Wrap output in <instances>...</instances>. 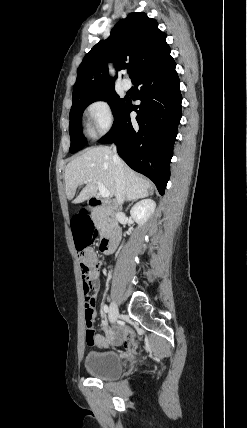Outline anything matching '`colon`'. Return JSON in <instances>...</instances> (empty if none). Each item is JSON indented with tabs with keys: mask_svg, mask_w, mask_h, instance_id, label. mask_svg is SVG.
Listing matches in <instances>:
<instances>
[{
	"mask_svg": "<svg viewBox=\"0 0 247 428\" xmlns=\"http://www.w3.org/2000/svg\"><path fill=\"white\" fill-rule=\"evenodd\" d=\"M70 220L71 225V237L73 240L74 247H78L80 255V268L83 281V292L85 296V332L86 339L92 342L95 339L94 336V306L88 302V297L91 292V286L96 278V265L90 263L87 254H82L83 247H86L89 239H93L95 234V227L93 225V218L89 217L88 212H71ZM125 345L128 348H134L136 343L133 339L128 338L125 341Z\"/></svg>",
	"mask_w": 247,
	"mask_h": 428,
	"instance_id": "colon-1",
	"label": "colon"
}]
</instances>
